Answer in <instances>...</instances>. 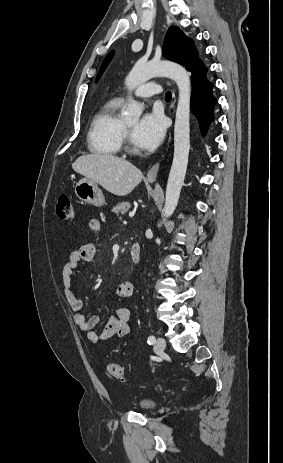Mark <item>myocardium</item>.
Wrapping results in <instances>:
<instances>
[{"label": "myocardium", "mask_w": 283, "mask_h": 463, "mask_svg": "<svg viewBox=\"0 0 283 463\" xmlns=\"http://www.w3.org/2000/svg\"><path fill=\"white\" fill-rule=\"evenodd\" d=\"M122 144L128 153L134 155L140 153V151L134 147L130 130L125 123L123 124Z\"/></svg>", "instance_id": "1"}]
</instances>
